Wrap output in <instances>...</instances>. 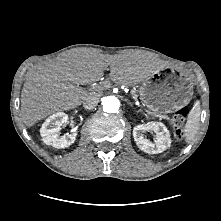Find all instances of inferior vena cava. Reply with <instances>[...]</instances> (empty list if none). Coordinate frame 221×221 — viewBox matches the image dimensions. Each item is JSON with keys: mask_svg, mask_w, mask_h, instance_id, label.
I'll list each match as a JSON object with an SVG mask.
<instances>
[{"mask_svg": "<svg viewBox=\"0 0 221 221\" xmlns=\"http://www.w3.org/2000/svg\"><path fill=\"white\" fill-rule=\"evenodd\" d=\"M99 102V95L98 94H91L88 95L83 101V107L86 110H91L97 106Z\"/></svg>", "mask_w": 221, "mask_h": 221, "instance_id": "602c4592", "label": "inferior vena cava"}]
</instances>
